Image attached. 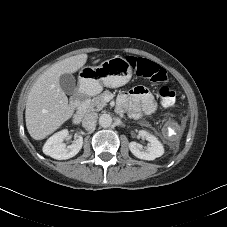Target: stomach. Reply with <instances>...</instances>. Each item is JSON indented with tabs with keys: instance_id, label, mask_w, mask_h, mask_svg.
I'll list each match as a JSON object with an SVG mask.
<instances>
[{
	"instance_id": "1",
	"label": "stomach",
	"mask_w": 227,
	"mask_h": 227,
	"mask_svg": "<svg viewBox=\"0 0 227 227\" xmlns=\"http://www.w3.org/2000/svg\"><path fill=\"white\" fill-rule=\"evenodd\" d=\"M132 77L130 63L119 56L103 61L98 66H85L80 70L79 81L89 95L101 91L102 85L117 88L125 85Z\"/></svg>"
}]
</instances>
